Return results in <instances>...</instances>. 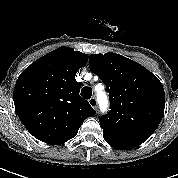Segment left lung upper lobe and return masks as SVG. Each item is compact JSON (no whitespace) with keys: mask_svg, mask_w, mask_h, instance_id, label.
I'll use <instances>...</instances> for the list:
<instances>
[{"mask_svg":"<svg viewBox=\"0 0 178 178\" xmlns=\"http://www.w3.org/2000/svg\"><path fill=\"white\" fill-rule=\"evenodd\" d=\"M90 70L109 92L111 110L99 118L105 141L131 149L146 141L159 126L165 93L157 77L139 63L115 53L89 57Z\"/></svg>","mask_w":178,"mask_h":178,"instance_id":"1","label":"left lung upper lobe"}]
</instances>
